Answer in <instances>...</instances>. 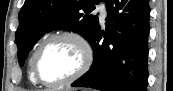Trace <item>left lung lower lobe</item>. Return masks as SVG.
I'll return each mask as SVG.
<instances>
[{
    "instance_id": "obj_1",
    "label": "left lung lower lobe",
    "mask_w": 173,
    "mask_h": 91,
    "mask_svg": "<svg viewBox=\"0 0 173 91\" xmlns=\"http://www.w3.org/2000/svg\"><path fill=\"white\" fill-rule=\"evenodd\" d=\"M106 9V33L98 26L89 41L94 49L93 66L71 86L102 91H146L149 2L107 0Z\"/></svg>"
}]
</instances>
